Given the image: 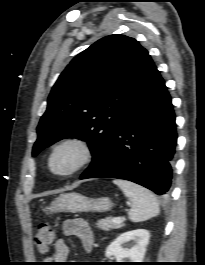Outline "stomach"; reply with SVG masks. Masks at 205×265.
Returning a JSON list of instances; mask_svg holds the SVG:
<instances>
[{
	"label": "stomach",
	"instance_id": "1",
	"mask_svg": "<svg viewBox=\"0 0 205 265\" xmlns=\"http://www.w3.org/2000/svg\"><path fill=\"white\" fill-rule=\"evenodd\" d=\"M112 204L109 198H89L79 193L70 192L61 194L49 207L47 213L59 212H104L111 208Z\"/></svg>",
	"mask_w": 205,
	"mask_h": 265
}]
</instances>
